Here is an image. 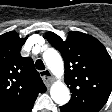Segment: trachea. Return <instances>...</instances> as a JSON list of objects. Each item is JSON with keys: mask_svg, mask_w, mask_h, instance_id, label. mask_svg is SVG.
<instances>
[{"mask_svg": "<svg viewBox=\"0 0 112 112\" xmlns=\"http://www.w3.org/2000/svg\"><path fill=\"white\" fill-rule=\"evenodd\" d=\"M35 66L38 70H44L45 69V65L41 59H38L36 61Z\"/></svg>", "mask_w": 112, "mask_h": 112, "instance_id": "1", "label": "trachea"}]
</instances>
